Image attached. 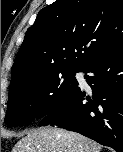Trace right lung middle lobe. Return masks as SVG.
<instances>
[{
  "label": "right lung middle lobe",
  "instance_id": "obj_1",
  "mask_svg": "<svg viewBox=\"0 0 123 152\" xmlns=\"http://www.w3.org/2000/svg\"><path fill=\"white\" fill-rule=\"evenodd\" d=\"M80 69L66 68L28 77L9 91L5 123L26 124L60 109L78 88L75 73Z\"/></svg>",
  "mask_w": 123,
  "mask_h": 152
}]
</instances>
